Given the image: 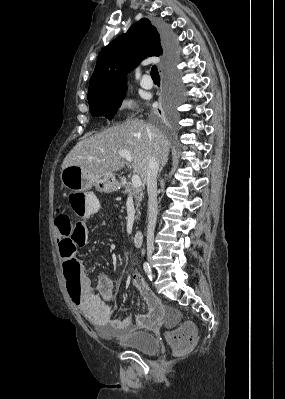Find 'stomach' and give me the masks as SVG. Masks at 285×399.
Returning <instances> with one entry per match:
<instances>
[{
  "instance_id": "stomach-1",
  "label": "stomach",
  "mask_w": 285,
  "mask_h": 399,
  "mask_svg": "<svg viewBox=\"0 0 285 399\" xmlns=\"http://www.w3.org/2000/svg\"><path fill=\"white\" fill-rule=\"evenodd\" d=\"M62 184L74 192H86L95 186L96 190L111 193L118 189L119 182L115 175L91 177L79 166H68L61 171Z\"/></svg>"
}]
</instances>
